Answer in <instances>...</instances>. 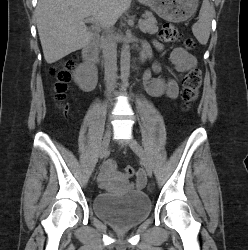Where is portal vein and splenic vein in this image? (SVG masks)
I'll list each match as a JSON object with an SVG mask.
<instances>
[{
	"mask_svg": "<svg viewBox=\"0 0 248 250\" xmlns=\"http://www.w3.org/2000/svg\"><path fill=\"white\" fill-rule=\"evenodd\" d=\"M87 21L92 22V23L95 22V20H94L93 17H87ZM138 23L141 24L142 23V19H140Z\"/></svg>",
	"mask_w": 248,
	"mask_h": 250,
	"instance_id": "obj_1",
	"label": "portal vein and splenic vein"
}]
</instances>
